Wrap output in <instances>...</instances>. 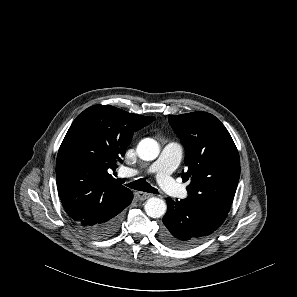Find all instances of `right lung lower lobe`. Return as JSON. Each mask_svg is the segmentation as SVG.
I'll return each mask as SVG.
<instances>
[{
  "mask_svg": "<svg viewBox=\"0 0 297 297\" xmlns=\"http://www.w3.org/2000/svg\"><path fill=\"white\" fill-rule=\"evenodd\" d=\"M133 194L128 195L124 201L112 207L99 206L87 217L75 221L78 228L86 235L95 239H106L119 230L122 211L131 203Z\"/></svg>",
  "mask_w": 297,
  "mask_h": 297,
  "instance_id": "obj_1",
  "label": "right lung lower lobe"
}]
</instances>
